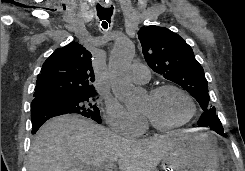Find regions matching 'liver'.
Returning a JSON list of instances; mask_svg holds the SVG:
<instances>
[{"label": "liver", "mask_w": 245, "mask_h": 171, "mask_svg": "<svg viewBox=\"0 0 245 171\" xmlns=\"http://www.w3.org/2000/svg\"><path fill=\"white\" fill-rule=\"evenodd\" d=\"M184 137L168 133L128 140L76 115L47 121L30 150L28 171H97L118 161L120 171H154L167 152Z\"/></svg>", "instance_id": "liver-1"}]
</instances>
